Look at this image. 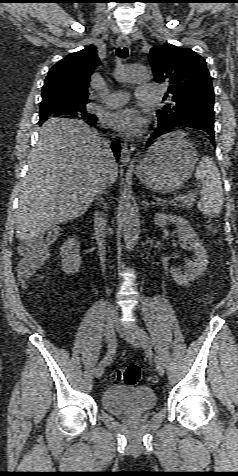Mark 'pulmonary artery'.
<instances>
[{
    "label": "pulmonary artery",
    "mask_w": 238,
    "mask_h": 476,
    "mask_svg": "<svg viewBox=\"0 0 238 476\" xmlns=\"http://www.w3.org/2000/svg\"><path fill=\"white\" fill-rule=\"evenodd\" d=\"M137 98L143 101H154L160 97V89L156 85L142 84L137 88ZM128 93L124 91H113L102 103L109 108H115L124 105L128 101Z\"/></svg>",
    "instance_id": "obj_1"
}]
</instances>
